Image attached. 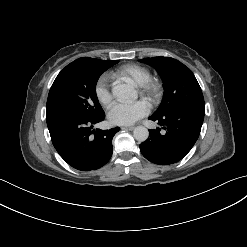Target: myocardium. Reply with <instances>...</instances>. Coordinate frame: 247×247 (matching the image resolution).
Wrapping results in <instances>:
<instances>
[{"label":"myocardium","instance_id":"f54148a6","mask_svg":"<svg viewBox=\"0 0 247 247\" xmlns=\"http://www.w3.org/2000/svg\"><path fill=\"white\" fill-rule=\"evenodd\" d=\"M139 88L141 95L154 102L160 97L163 90V85L160 80L150 78L146 83L139 86Z\"/></svg>","mask_w":247,"mask_h":247}]
</instances>
